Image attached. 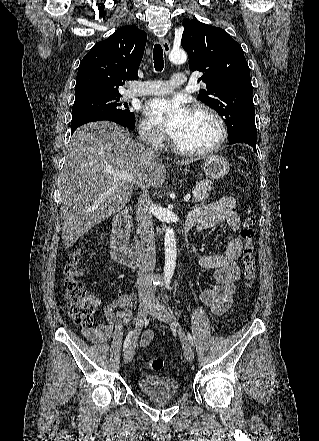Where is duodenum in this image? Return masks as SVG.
Listing matches in <instances>:
<instances>
[{
	"label": "duodenum",
	"mask_w": 319,
	"mask_h": 441,
	"mask_svg": "<svg viewBox=\"0 0 319 441\" xmlns=\"http://www.w3.org/2000/svg\"><path fill=\"white\" fill-rule=\"evenodd\" d=\"M188 230V226L184 224L179 233ZM129 235V210L124 208L121 210L113 220V230L110 239V249L113 259L119 264L130 268H135L139 265L143 253L146 250L145 243H128Z\"/></svg>",
	"instance_id": "410a0bca"
}]
</instances>
